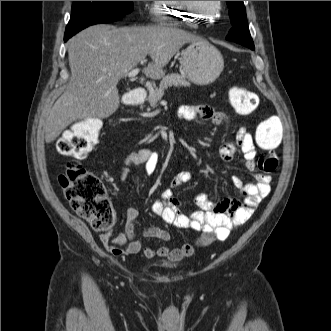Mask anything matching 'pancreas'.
I'll list each match as a JSON object with an SVG mask.
<instances>
[{
  "label": "pancreas",
  "mask_w": 331,
  "mask_h": 331,
  "mask_svg": "<svg viewBox=\"0 0 331 331\" xmlns=\"http://www.w3.org/2000/svg\"><path fill=\"white\" fill-rule=\"evenodd\" d=\"M172 86H190L185 77L179 74H170L163 77L158 87L149 90L148 102L151 107H155L164 95V91Z\"/></svg>",
  "instance_id": "pancreas-1"
}]
</instances>
